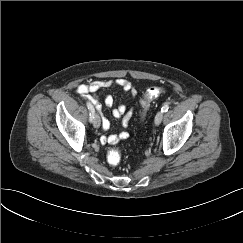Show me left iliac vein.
<instances>
[{
	"label": "left iliac vein",
	"instance_id": "1",
	"mask_svg": "<svg viewBox=\"0 0 243 243\" xmlns=\"http://www.w3.org/2000/svg\"><path fill=\"white\" fill-rule=\"evenodd\" d=\"M162 119H163V112L159 111L155 116V120H154L155 125L158 126L161 123Z\"/></svg>",
	"mask_w": 243,
	"mask_h": 243
}]
</instances>
